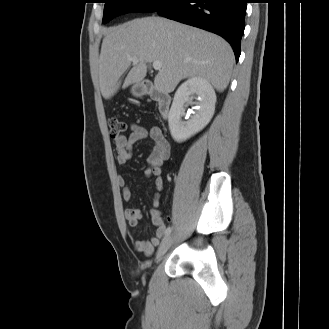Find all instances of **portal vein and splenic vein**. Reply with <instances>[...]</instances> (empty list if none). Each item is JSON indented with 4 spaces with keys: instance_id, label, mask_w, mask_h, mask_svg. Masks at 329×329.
<instances>
[{
    "instance_id": "obj_1",
    "label": "portal vein and splenic vein",
    "mask_w": 329,
    "mask_h": 329,
    "mask_svg": "<svg viewBox=\"0 0 329 329\" xmlns=\"http://www.w3.org/2000/svg\"><path fill=\"white\" fill-rule=\"evenodd\" d=\"M131 60H132L133 63H137L138 62L137 57H133V58H131ZM161 67H162V63L160 61H154L153 62V68L155 70H160Z\"/></svg>"
}]
</instances>
